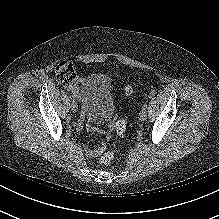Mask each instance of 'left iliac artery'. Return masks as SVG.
<instances>
[{
  "mask_svg": "<svg viewBox=\"0 0 219 219\" xmlns=\"http://www.w3.org/2000/svg\"><path fill=\"white\" fill-rule=\"evenodd\" d=\"M147 102H145L144 104H143V106H142V109H144V110H146L147 109Z\"/></svg>",
  "mask_w": 219,
  "mask_h": 219,
  "instance_id": "44dca946",
  "label": "left iliac artery"
}]
</instances>
